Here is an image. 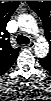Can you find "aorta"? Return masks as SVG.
Listing matches in <instances>:
<instances>
[{"mask_svg": "<svg viewBox=\"0 0 51 101\" xmlns=\"http://www.w3.org/2000/svg\"><path fill=\"white\" fill-rule=\"evenodd\" d=\"M19 28L29 34H35L38 31L36 20L28 14H22L18 17ZM48 42L44 38H40L34 47V53L37 57L43 58L48 54Z\"/></svg>", "mask_w": 51, "mask_h": 101, "instance_id": "obj_1", "label": "aorta"}]
</instances>
